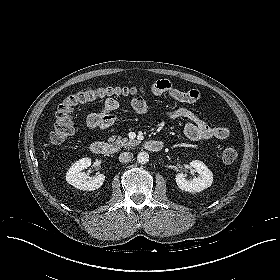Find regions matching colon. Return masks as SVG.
Masks as SVG:
<instances>
[{
	"mask_svg": "<svg viewBox=\"0 0 280 280\" xmlns=\"http://www.w3.org/2000/svg\"><path fill=\"white\" fill-rule=\"evenodd\" d=\"M144 93L143 88L104 86L97 88H85L75 91L65 97L57 106L55 111V122L49 135L52 145H59L65 142L73 134L72 112L82 104L90 103L98 98L110 97H137ZM238 156L233 146L225 147L221 152V158L225 163H232Z\"/></svg>",
	"mask_w": 280,
	"mask_h": 280,
	"instance_id": "obj_1",
	"label": "colon"
}]
</instances>
